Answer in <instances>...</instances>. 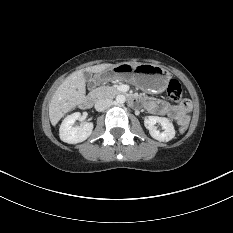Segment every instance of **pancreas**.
<instances>
[{"instance_id": "cf45deb5", "label": "pancreas", "mask_w": 233, "mask_h": 233, "mask_svg": "<svg viewBox=\"0 0 233 233\" xmlns=\"http://www.w3.org/2000/svg\"><path fill=\"white\" fill-rule=\"evenodd\" d=\"M90 94L96 99L113 98L119 94V90L116 87L104 85L93 89Z\"/></svg>"}]
</instances>
